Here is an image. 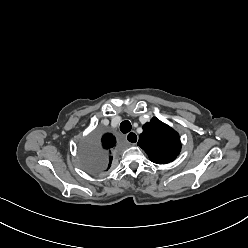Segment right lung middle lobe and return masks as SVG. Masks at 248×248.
Here are the masks:
<instances>
[{"instance_id": "1", "label": "right lung middle lobe", "mask_w": 248, "mask_h": 248, "mask_svg": "<svg viewBox=\"0 0 248 248\" xmlns=\"http://www.w3.org/2000/svg\"><path fill=\"white\" fill-rule=\"evenodd\" d=\"M82 167L89 173L98 174L108 170L109 153L96 141L83 142L80 145Z\"/></svg>"}]
</instances>
